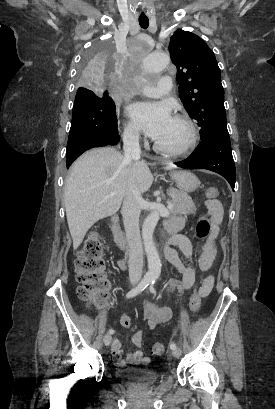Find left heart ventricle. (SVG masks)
Here are the masks:
<instances>
[{"instance_id":"left-heart-ventricle-1","label":"left heart ventricle","mask_w":275,"mask_h":409,"mask_svg":"<svg viewBox=\"0 0 275 409\" xmlns=\"http://www.w3.org/2000/svg\"><path fill=\"white\" fill-rule=\"evenodd\" d=\"M186 137V127L171 119L164 129L153 137V140L165 147H177L185 141Z\"/></svg>"}]
</instances>
